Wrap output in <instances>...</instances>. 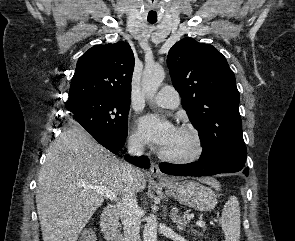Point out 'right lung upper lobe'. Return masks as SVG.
Segmentation results:
<instances>
[{
    "label": "right lung upper lobe",
    "mask_w": 295,
    "mask_h": 241,
    "mask_svg": "<svg viewBox=\"0 0 295 241\" xmlns=\"http://www.w3.org/2000/svg\"><path fill=\"white\" fill-rule=\"evenodd\" d=\"M133 69L127 42L93 46L78 59L66 106L88 100L130 101Z\"/></svg>",
    "instance_id": "1"
}]
</instances>
